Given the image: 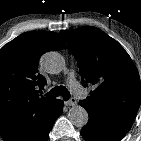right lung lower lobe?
I'll return each instance as SVG.
<instances>
[{
	"label": "right lung lower lobe",
	"mask_w": 141,
	"mask_h": 141,
	"mask_svg": "<svg viewBox=\"0 0 141 141\" xmlns=\"http://www.w3.org/2000/svg\"><path fill=\"white\" fill-rule=\"evenodd\" d=\"M62 108L63 102L56 99L47 108L21 117L0 135L5 141H47Z\"/></svg>",
	"instance_id": "1"
}]
</instances>
